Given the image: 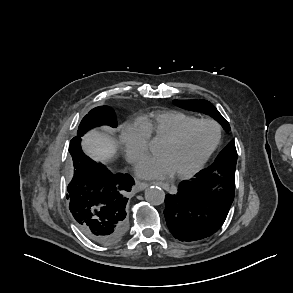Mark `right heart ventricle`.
<instances>
[{
    "label": "right heart ventricle",
    "instance_id": "obj_1",
    "mask_svg": "<svg viewBox=\"0 0 293 293\" xmlns=\"http://www.w3.org/2000/svg\"><path fill=\"white\" fill-rule=\"evenodd\" d=\"M197 119L190 114L177 110L155 111L139 120V124L148 132L149 136L163 140L173 135L185 124Z\"/></svg>",
    "mask_w": 293,
    "mask_h": 293
}]
</instances>
